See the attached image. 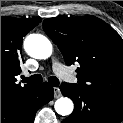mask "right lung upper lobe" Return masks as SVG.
I'll list each match as a JSON object with an SVG mask.
<instances>
[{"instance_id":"cb5924a9","label":"right lung upper lobe","mask_w":123,"mask_h":123,"mask_svg":"<svg viewBox=\"0 0 123 123\" xmlns=\"http://www.w3.org/2000/svg\"><path fill=\"white\" fill-rule=\"evenodd\" d=\"M41 22L40 19L1 17V104L24 97L36 86L17 84L21 73L23 37Z\"/></svg>"}]
</instances>
